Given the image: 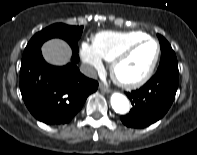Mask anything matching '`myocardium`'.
<instances>
[{"label": "myocardium", "instance_id": "1", "mask_svg": "<svg viewBox=\"0 0 197 155\" xmlns=\"http://www.w3.org/2000/svg\"><path fill=\"white\" fill-rule=\"evenodd\" d=\"M147 42H152L156 45V52L146 72L140 78L135 80H125L122 77H120L118 73V67L120 66V64L124 62L138 47H140L141 45ZM160 53H161V48L159 42L150 36H147L143 39H140L139 41H136L128 45L121 52H119L117 56L111 61L110 74L113 81L117 85L125 89H136L141 87L152 77L156 69L157 63L159 61Z\"/></svg>", "mask_w": 197, "mask_h": 155}]
</instances>
